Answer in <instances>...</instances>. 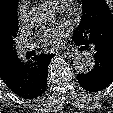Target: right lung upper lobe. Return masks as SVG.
<instances>
[{
  "instance_id": "1",
  "label": "right lung upper lobe",
  "mask_w": 113,
  "mask_h": 113,
  "mask_svg": "<svg viewBox=\"0 0 113 113\" xmlns=\"http://www.w3.org/2000/svg\"><path fill=\"white\" fill-rule=\"evenodd\" d=\"M18 0H0V77L6 80L16 63L14 38L18 32Z\"/></svg>"
}]
</instances>
